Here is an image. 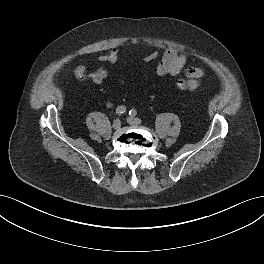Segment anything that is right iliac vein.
I'll return each instance as SVG.
<instances>
[{"mask_svg":"<svg viewBox=\"0 0 264 264\" xmlns=\"http://www.w3.org/2000/svg\"><path fill=\"white\" fill-rule=\"evenodd\" d=\"M112 127L114 129H119L121 127V121L119 119H116L113 121Z\"/></svg>","mask_w":264,"mask_h":264,"instance_id":"obj_1","label":"right iliac vein"}]
</instances>
